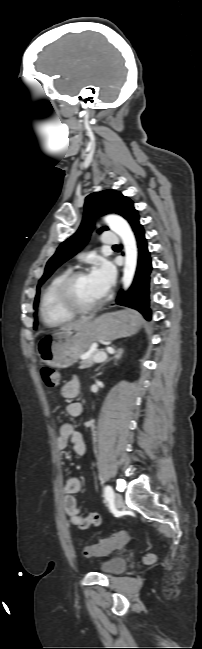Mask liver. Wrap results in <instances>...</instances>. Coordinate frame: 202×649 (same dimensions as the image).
<instances>
[{
  "instance_id": "liver-1",
  "label": "liver",
  "mask_w": 202,
  "mask_h": 649,
  "mask_svg": "<svg viewBox=\"0 0 202 649\" xmlns=\"http://www.w3.org/2000/svg\"><path fill=\"white\" fill-rule=\"evenodd\" d=\"M93 317H82L76 321H72L69 323L64 324L63 326L60 327V331H66V330H71L74 328H80L84 325H86L88 322L92 320Z\"/></svg>"
}]
</instances>
